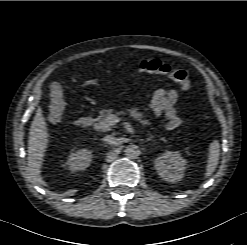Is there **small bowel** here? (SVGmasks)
I'll list each match as a JSON object with an SVG mask.
<instances>
[{
	"mask_svg": "<svg viewBox=\"0 0 247 245\" xmlns=\"http://www.w3.org/2000/svg\"><path fill=\"white\" fill-rule=\"evenodd\" d=\"M178 93L170 88H158L155 90L151 100V109L156 116L163 115L166 119L176 115L175 104Z\"/></svg>",
	"mask_w": 247,
	"mask_h": 245,
	"instance_id": "1",
	"label": "small bowel"
}]
</instances>
